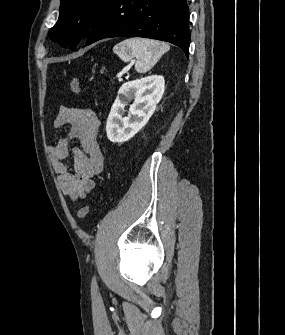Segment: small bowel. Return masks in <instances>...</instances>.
<instances>
[{
    "label": "small bowel",
    "mask_w": 285,
    "mask_h": 335,
    "mask_svg": "<svg viewBox=\"0 0 285 335\" xmlns=\"http://www.w3.org/2000/svg\"><path fill=\"white\" fill-rule=\"evenodd\" d=\"M54 128L69 127L67 135L49 147L54 171L63 194L76 200L94 188V177L104 167V156L97 141L99 119L91 109L61 106L53 121ZM77 140L79 146L69 149ZM72 158L71 167L67 161Z\"/></svg>",
    "instance_id": "c3829d8e"
}]
</instances>
